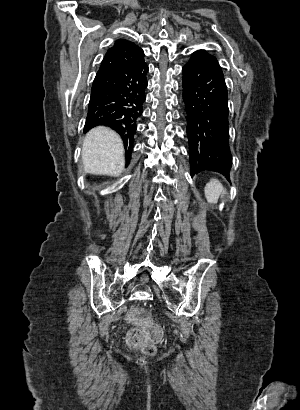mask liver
Segmentation results:
<instances>
[{
    "label": "liver",
    "instance_id": "liver-1",
    "mask_svg": "<svg viewBox=\"0 0 300 410\" xmlns=\"http://www.w3.org/2000/svg\"><path fill=\"white\" fill-rule=\"evenodd\" d=\"M82 162L86 173L119 176L125 165L120 136L103 126L91 129L83 142Z\"/></svg>",
    "mask_w": 300,
    "mask_h": 410
}]
</instances>
